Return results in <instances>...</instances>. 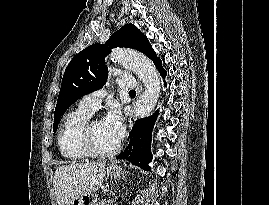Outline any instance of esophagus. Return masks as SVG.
Returning <instances> with one entry per match:
<instances>
[{
  "label": "esophagus",
  "mask_w": 269,
  "mask_h": 205,
  "mask_svg": "<svg viewBox=\"0 0 269 205\" xmlns=\"http://www.w3.org/2000/svg\"><path fill=\"white\" fill-rule=\"evenodd\" d=\"M142 90H143V89H142V86L139 85V88H138V96L141 95ZM132 126H133V115H131V116L129 117V119H128V127H129V129H131Z\"/></svg>",
  "instance_id": "esophagus-1"
}]
</instances>
